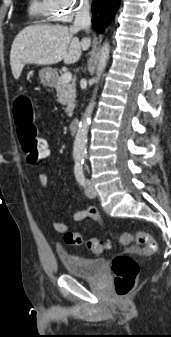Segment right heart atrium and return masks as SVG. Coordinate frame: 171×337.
<instances>
[{
    "label": "right heart atrium",
    "instance_id": "obj_1",
    "mask_svg": "<svg viewBox=\"0 0 171 337\" xmlns=\"http://www.w3.org/2000/svg\"><path fill=\"white\" fill-rule=\"evenodd\" d=\"M53 18L59 22L68 23L73 18L84 12L87 0H48Z\"/></svg>",
    "mask_w": 171,
    "mask_h": 337
}]
</instances>
